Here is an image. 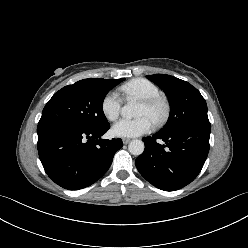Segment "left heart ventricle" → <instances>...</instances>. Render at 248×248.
<instances>
[{
  "instance_id": "obj_1",
  "label": "left heart ventricle",
  "mask_w": 248,
  "mask_h": 248,
  "mask_svg": "<svg viewBox=\"0 0 248 248\" xmlns=\"http://www.w3.org/2000/svg\"><path fill=\"white\" fill-rule=\"evenodd\" d=\"M155 115L156 111L150 110L142 103L140 104L139 109L137 111V116H146L152 121Z\"/></svg>"
}]
</instances>
